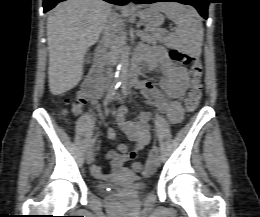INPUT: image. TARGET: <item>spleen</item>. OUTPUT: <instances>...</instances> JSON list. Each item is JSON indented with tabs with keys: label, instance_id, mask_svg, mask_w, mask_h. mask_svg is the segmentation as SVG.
Returning a JSON list of instances; mask_svg holds the SVG:
<instances>
[{
	"label": "spleen",
	"instance_id": "3e777b00",
	"mask_svg": "<svg viewBox=\"0 0 260 217\" xmlns=\"http://www.w3.org/2000/svg\"><path fill=\"white\" fill-rule=\"evenodd\" d=\"M152 8L163 12L177 25L175 32L164 38L166 46L191 55L200 54L204 31L194 9L180 3H157Z\"/></svg>",
	"mask_w": 260,
	"mask_h": 217
}]
</instances>
